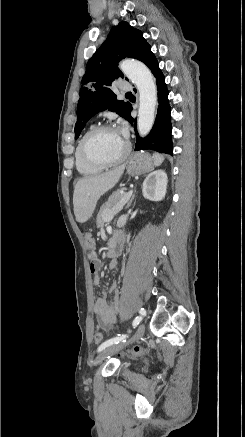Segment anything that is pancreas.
Wrapping results in <instances>:
<instances>
[{
  "label": "pancreas",
  "instance_id": "pancreas-1",
  "mask_svg": "<svg viewBox=\"0 0 245 437\" xmlns=\"http://www.w3.org/2000/svg\"><path fill=\"white\" fill-rule=\"evenodd\" d=\"M125 192L122 189H119L108 198V201L103 204L98 215H97V226L102 228L104 225V220L106 215L112 210V208L119 204L120 201L124 198Z\"/></svg>",
  "mask_w": 245,
  "mask_h": 437
}]
</instances>
